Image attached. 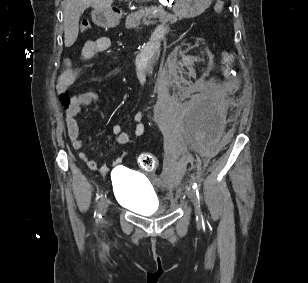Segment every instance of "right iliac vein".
Here are the masks:
<instances>
[{
    "label": "right iliac vein",
    "mask_w": 308,
    "mask_h": 283,
    "mask_svg": "<svg viewBox=\"0 0 308 283\" xmlns=\"http://www.w3.org/2000/svg\"><path fill=\"white\" fill-rule=\"evenodd\" d=\"M108 200L106 199L105 201H104V212L106 211V208L108 207Z\"/></svg>",
    "instance_id": "right-iliac-vein-1"
}]
</instances>
